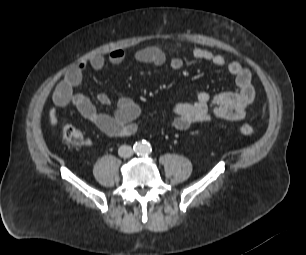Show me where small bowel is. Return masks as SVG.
<instances>
[{"label": "small bowel", "instance_id": "1", "mask_svg": "<svg viewBox=\"0 0 306 255\" xmlns=\"http://www.w3.org/2000/svg\"><path fill=\"white\" fill-rule=\"evenodd\" d=\"M196 60L210 62L219 69L226 70L235 81L237 89L211 96L200 92L194 102H179L172 108L170 126L178 131H185L196 123L211 122L215 119L238 121L246 115L247 107L255 98V88L252 84L251 72L237 61H228L223 55L204 48H194L191 51ZM134 60L155 66H162L167 62L166 53L159 47L149 46L137 50ZM125 59V52L116 48L108 56L95 55L89 60L81 61L71 66L64 74L62 80L55 87L52 101L57 107L73 105L79 114L87 121L94 124L101 132L110 137L122 138L133 135L137 130L136 119L141 114V107L133 99L121 96L117 100L116 110L113 114L97 111L95 105L88 97L76 93L80 86L83 73L90 67L101 71L107 62L118 65ZM184 66L181 57H174L169 61L172 70H180ZM102 105H109L111 98L106 93L97 97ZM49 121L52 127L58 126L55 110H50Z\"/></svg>", "mask_w": 306, "mask_h": 255}]
</instances>
